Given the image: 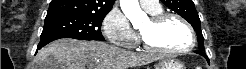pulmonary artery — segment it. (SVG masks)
Masks as SVG:
<instances>
[{
    "instance_id": "1",
    "label": "pulmonary artery",
    "mask_w": 246,
    "mask_h": 69,
    "mask_svg": "<svg viewBox=\"0 0 246 69\" xmlns=\"http://www.w3.org/2000/svg\"><path fill=\"white\" fill-rule=\"evenodd\" d=\"M141 6L147 12H154L161 8L160 3L156 0H142Z\"/></svg>"
}]
</instances>
